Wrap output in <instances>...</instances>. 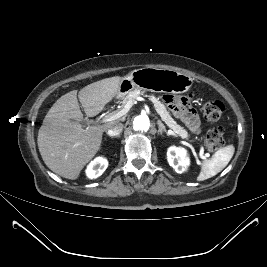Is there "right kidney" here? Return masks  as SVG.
Masks as SVG:
<instances>
[{
    "label": "right kidney",
    "mask_w": 267,
    "mask_h": 267,
    "mask_svg": "<svg viewBox=\"0 0 267 267\" xmlns=\"http://www.w3.org/2000/svg\"><path fill=\"white\" fill-rule=\"evenodd\" d=\"M108 166L105 158L97 157L87 166L86 175L90 179L98 178L103 174Z\"/></svg>",
    "instance_id": "obj_1"
}]
</instances>
